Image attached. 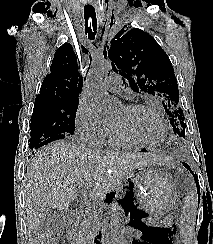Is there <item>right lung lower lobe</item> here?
<instances>
[{
    "label": "right lung lower lobe",
    "mask_w": 213,
    "mask_h": 244,
    "mask_svg": "<svg viewBox=\"0 0 213 244\" xmlns=\"http://www.w3.org/2000/svg\"><path fill=\"white\" fill-rule=\"evenodd\" d=\"M66 138L65 135H57V136H54V137H51L49 139H46L45 141H43L42 143L38 144L37 146L31 148L32 150H35V149H38L40 147H42L43 145H46L52 141H55V140H59V139H64Z\"/></svg>",
    "instance_id": "98d812e1"
}]
</instances>
